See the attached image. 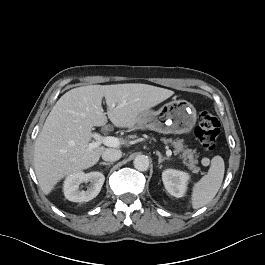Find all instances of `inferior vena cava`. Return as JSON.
Listing matches in <instances>:
<instances>
[{
    "mask_svg": "<svg viewBox=\"0 0 265 265\" xmlns=\"http://www.w3.org/2000/svg\"><path fill=\"white\" fill-rule=\"evenodd\" d=\"M122 156V152L120 150L117 149H106L103 153H102V159L104 161H108V162H114L117 161L121 158Z\"/></svg>",
    "mask_w": 265,
    "mask_h": 265,
    "instance_id": "602c4592",
    "label": "inferior vena cava"
}]
</instances>
